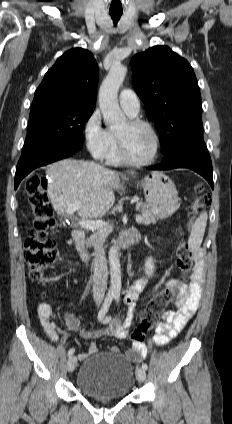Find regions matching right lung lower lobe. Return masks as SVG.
Listing matches in <instances>:
<instances>
[{"label": "right lung lower lobe", "instance_id": "1", "mask_svg": "<svg viewBox=\"0 0 232 424\" xmlns=\"http://www.w3.org/2000/svg\"><path fill=\"white\" fill-rule=\"evenodd\" d=\"M81 148V143L38 141L29 148L23 149L16 168L15 189L21 180L35 168L70 157Z\"/></svg>", "mask_w": 232, "mask_h": 424}]
</instances>
